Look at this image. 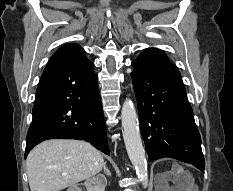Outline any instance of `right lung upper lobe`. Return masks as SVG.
Here are the masks:
<instances>
[{"mask_svg":"<svg viewBox=\"0 0 233 191\" xmlns=\"http://www.w3.org/2000/svg\"><path fill=\"white\" fill-rule=\"evenodd\" d=\"M84 50L77 44H67L59 48L50 58L48 64L57 62H76L85 59Z\"/></svg>","mask_w":233,"mask_h":191,"instance_id":"1","label":"right lung upper lobe"}]
</instances>
